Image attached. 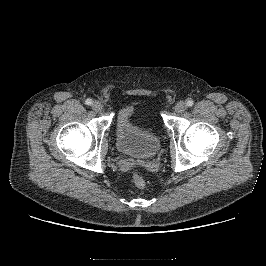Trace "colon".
<instances>
[{"label": "colon", "instance_id": "1", "mask_svg": "<svg viewBox=\"0 0 266 266\" xmlns=\"http://www.w3.org/2000/svg\"><path fill=\"white\" fill-rule=\"evenodd\" d=\"M132 181L133 184L138 188V189H144L147 185V181L144 176H142L140 173L134 172L132 175Z\"/></svg>", "mask_w": 266, "mask_h": 266}]
</instances>
